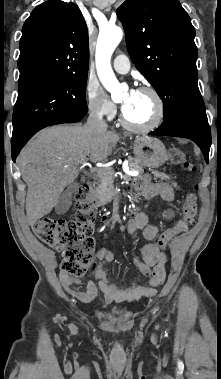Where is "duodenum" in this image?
Instances as JSON below:
<instances>
[{
  "label": "duodenum",
  "instance_id": "obj_1",
  "mask_svg": "<svg viewBox=\"0 0 221 379\" xmlns=\"http://www.w3.org/2000/svg\"><path fill=\"white\" fill-rule=\"evenodd\" d=\"M82 188L85 189L89 194H91L92 186L90 181H85Z\"/></svg>",
  "mask_w": 221,
  "mask_h": 379
}]
</instances>
